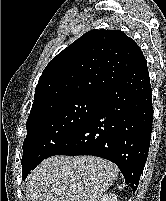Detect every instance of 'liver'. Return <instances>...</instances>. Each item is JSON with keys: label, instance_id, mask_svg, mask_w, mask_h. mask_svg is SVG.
I'll list each match as a JSON object with an SVG mask.
<instances>
[{"label": "liver", "instance_id": "6515ba94", "mask_svg": "<svg viewBox=\"0 0 166 201\" xmlns=\"http://www.w3.org/2000/svg\"><path fill=\"white\" fill-rule=\"evenodd\" d=\"M117 167L95 156H52L26 179L27 201H99L117 180Z\"/></svg>", "mask_w": 166, "mask_h": 201}]
</instances>
